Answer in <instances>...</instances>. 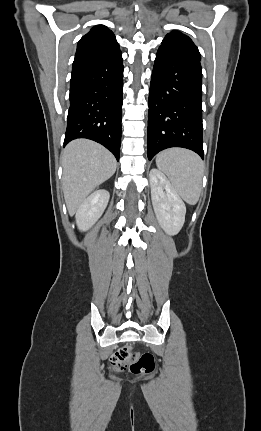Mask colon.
<instances>
[{"label": "colon", "instance_id": "obj_1", "mask_svg": "<svg viewBox=\"0 0 261 431\" xmlns=\"http://www.w3.org/2000/svg\"><path fill=\"white\" fill-rule=\"evenodd\" d=\"M114 370L128 369L133 375L139 376L151 373L154 370V357L151 353H136L130 347L117 350L110 358Z\"/></svg>", "mask_w": 261, "mask_h": 431}]
</instances>
